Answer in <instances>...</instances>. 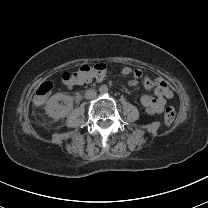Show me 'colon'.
<instances>
[{
    "label": "colon",
    "mask_w": 208,
    "mask_h": 208,
    "mask_svg": "<svg viewBox=\"0 0 208 208\" xmlns=\"http://www.w3.org/2000/svg\"><path fill=\"white\" fill-rule=\"evenodd\" d=\"M108 65L105 63H92L82 64L75 71H66L62 74V82H78L82 79H95L100 75H104L108 69ZM55 88V83L51 79H46L37 91V94L33 97V102L37 106L44 105L48 100L51 92ZM176 120V109L174 105H170L166 108L163 117V126L169 128Z\"/></svg>",
    "instance_id": "colon-1"
}]
</instances>
